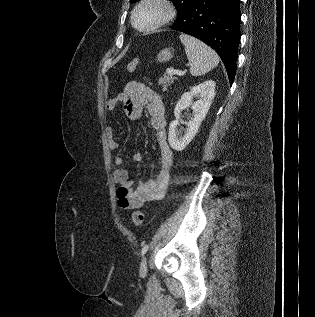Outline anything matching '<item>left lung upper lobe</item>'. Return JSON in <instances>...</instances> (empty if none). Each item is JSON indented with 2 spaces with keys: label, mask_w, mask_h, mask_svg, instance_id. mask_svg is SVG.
<instances>
[{
  "label": "left lung upper lobe",
  "mask_w": 315,
  "mask_h": 317,
  "mask_svg": "<svg viewBox=\"0 0 315 317\" xmlns=\"http://www.w3.org/2000/svg\"><path fill=\"white\" fill-rule=\"evenodd\" d=\"M138 0H130V3H134ZM174 5L176 6L177 10H178V14H177V19L176 21L180 20L184 13L186 12L188 6L191 4V2H193L194 0H171Z\"/></svg>",
  "instance_id": "obj_1"
}]
</instances>
